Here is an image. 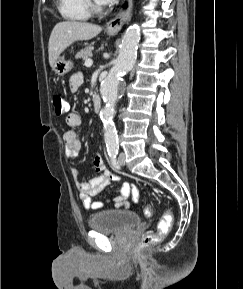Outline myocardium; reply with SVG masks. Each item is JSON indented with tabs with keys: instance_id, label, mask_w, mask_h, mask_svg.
Returning a JSON list of instances; mask_svg holds the SVG:
<instances>
[{
	"instance_id": "obj_1",
	"label": "myocardium",
	"mask_w": 243,
	"mask_h": 289,
	"mask_svg": "<svg viewBox=\"0 0 243 289\" xmlns=\"http://www.w3.org/2000/svg\"><path fill=\"white\" fill-rule=\"evenodd\" d=\"M86 3L91 14H101L104 12L103 6L97 0H86Z\"/></svg>"
}]
</instances>
